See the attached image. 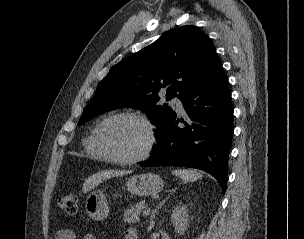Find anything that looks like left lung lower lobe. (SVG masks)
I'll use <instances>...</instances> for the list:
<instances>
[{
	"label": "left lung lower lobe",
	"mask_w": 304,
	"mask_h": 239,
	"mask_svg": "<svg viewBox=\"0 0 304 239\" xmlns=\"http://www.w3.org/2000/svg\"><path fill=\"white\" fill-rule=\"evenodd\" d=\"M188 115L179 127L176 115L157 137V146L141 166H184L212 174L225 193L233 134V108L227 78L217 56L182 99Z\"/></svg>",
	"instance_id": "obj_1"
}]
</instances>
